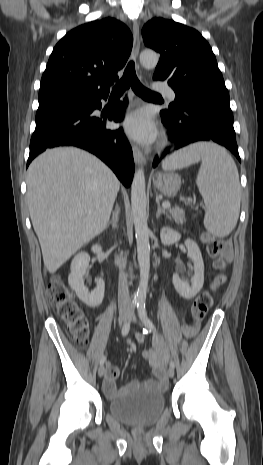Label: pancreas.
I'll list each match as a JSON object with an SVG mask.
<instances>
[{
    "label": "pancreas",
    "instance_id": "obj_1",
    "mask_svg": "<svg viewBox=\"0 0 263 465\" xmlns=\"http://www.w3.org/2000/svg\"><path fill=\"white\" fill-rule=\"evenodd\" d=\"M168 213L175 220L177 224H183L185 222V212L180 208H173L168 210Z\"/></svg>",
    "mask_w": 263,
    "mask_h": 465
}]
</instances>
